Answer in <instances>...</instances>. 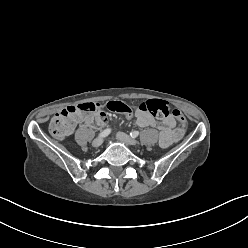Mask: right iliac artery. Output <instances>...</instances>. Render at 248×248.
I'll list each match as a JSON object with an SVG mask.
<instances>
[{
	"mask_svg": "<svg viewBox=\"0 0 248 248\" xmlns=\"http://www.w3.org/2000/svg\"><path fill=\"white\" fill-rule=\"evenodd\" d=\"M111 130L110 129H105L104 131H102L100 134H99V137L100 138H104L106 136H108L110 134Z\"/></svg>",
	"mask_w": 248,
	"mask_h": 248,
	"instance_id": "82829eb1",
	"label": "right iliac artery"
}]
</instances>
